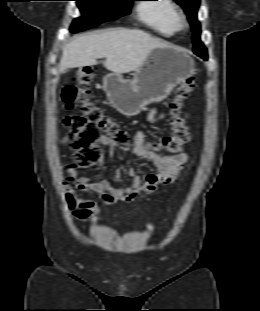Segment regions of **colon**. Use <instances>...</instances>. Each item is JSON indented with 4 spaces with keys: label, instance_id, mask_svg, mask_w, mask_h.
Wrapping results in <instances>:
<instances>
[{
    "label": "colon",
    "instance_id": "5ec220e1",
    "mask_svg": "<svg viewBox=\"0 0 260 311\" xmlns=\"http://www.w3.org/2000/svg\"><path fill=\"white\" fill-rule=\"evenodd\" d=\"M92 79V69L82 68L75 73L62 91V99L67 108H72L75 103L81 105V114L67 116L64 120L68 130L66 142L73 150L74 161L79 166L94 164L101 158L100 145L105 138L122 145H127L129 142L127 130L92 101V94L88 88ZM195 88V79L189 77L175 91L171 101L172 133L156 140L153 143L156 149L179 154L188 144L190 135L180 113ZM146 146L148 147L149 144Z\"/></svg>",
    "mask_w": 260,
    "mask_h": 311
}]
</instances>
